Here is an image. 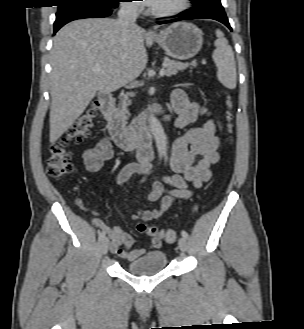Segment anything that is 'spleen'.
I'll list each match as a JSON object with an SVG mask.
<instances>
[{
  "mask_svg": "<svg viewBox=\"0 0 304 329\" xmlns=\"http://www.w3.org/2000/svg\"><path fill=\"white\" fill-rule=\"evenodd\" d=\"M217 40L215 41V51L213 60L218 68V80L228 89H235L237 83L236 63L234 53L227 39L220 30H216Z\"/></svg>",
  "mask_w": 304,
  "mask_h": 329,
  "instance_id": "3e777b00",
  "label": "spleen"
}]
</instances>
